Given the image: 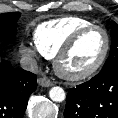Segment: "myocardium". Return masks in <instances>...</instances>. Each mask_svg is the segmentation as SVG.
Instances as JSON below:
<instances>
[{
  "label": "myocardium",
  "mask_w": 118,
  "mask_h": 118,
  "mask_svg": "<svg viewBox=\"0 0 118 118\" xmlns=\"http://www.w3.org/2000/svg\"><path fill=\"white\" fill-rule=\"evenodd\" d=\"M95 29L100 30L104 34V37H105V47H104L103 53H102L101 57L98 59V61L92 67H90L84 71H81V72L71 73V72L64 70L61 65L63 58L72 50V48L75 46V44L79 41V39L85 33L95 30ZM110 47H111L110 35L104 27H102L100 25H96V24H91V25L82 27V28L78 29L77 31H75L66 40V42L59 48V50L53 57L54 70L59 77L65 79V80H68V81H78V80L85 79V78L93 75L94 73H96L102 67V65L104 64V62L106 61V59L108 57Z\"/></svg>",
  "instance_id": "obj_1"
}]
</instances>
